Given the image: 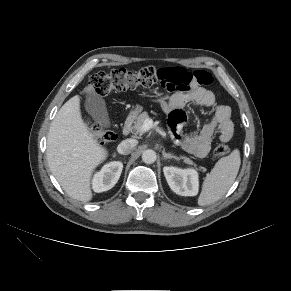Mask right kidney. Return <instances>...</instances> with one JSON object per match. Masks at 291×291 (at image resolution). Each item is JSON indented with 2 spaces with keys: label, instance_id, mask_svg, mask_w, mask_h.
<instances>
[{
  "label": "right kidney",
  "instance_id": "ca27d5eb",
  "mask_svg": "<svg viewBox=\"0 0 291 291\" xmlns=\"http://www.w3.org/2000/svg\"><path fill=\"white\" fill-rule=\"evenodd\" d=\"M123 164L119 161L110 162L103 166V168L97 172L92 180L93 189L95 192H104L118 182Z\"/></svg>",
  "mask_w": 291,
  "mask_h": 291
}]
</instances>
